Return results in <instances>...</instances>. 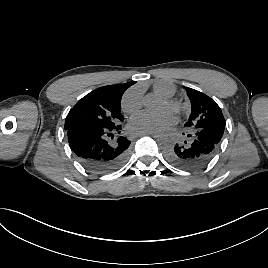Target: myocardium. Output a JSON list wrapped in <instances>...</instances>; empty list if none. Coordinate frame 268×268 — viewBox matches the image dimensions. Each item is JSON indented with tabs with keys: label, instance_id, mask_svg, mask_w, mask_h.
<instances>
[{
	"label": "myocardium",
	"instance_id": "1",
	"mask_svg": "<svg viewBox=\"0 0 268 268\" xmlns=\"http://www.w3.org/2000/svg\"><path fill=\"white\" fill-rule=\"evenodd\" d=\"M165 103L175 113L181 114L184 111V104L175 98H167L165 99Z\"/></svg>",
	"mask_w": 268,
	"mask_h": 268
}]
</instances>
